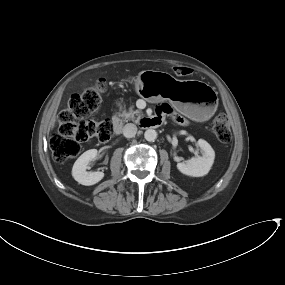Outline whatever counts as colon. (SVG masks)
<instances>
[{
    "label": "colon",
    "mask_w": 285,
    "mask_h": 285,
    "mask_svg": "<svg viewBox=\"0 0 285 285\" xmlns=\"http://www.w3.org/2000/svg\"><path fill=\"white\" fill-rule=\"evenodd\" d=\"M177 77H188L193 73L189 67H176ZM106 89V83L99 79L96 83L71 96L67 108L59 114L58 131L50 138V147L56 161L64 163L77 156L81 143L96 137L102 142L111 138L113 121L95 122L88 117L98 109ZM215 137L222 143L231 140V129L226 115H218L211 124Z\"/></svg>",
    "instance_id": "5ec220e1"
}]
</instances>
